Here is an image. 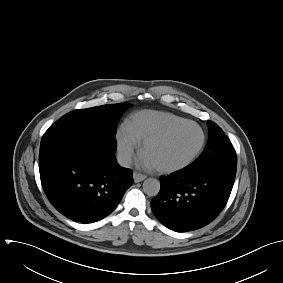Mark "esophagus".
I'll use <instances>...</instances> for the list:
<instances>
[{
  "label": "esophagus",
  "instance_id": "esophagus-1",
  "mask_svg": "<svg viewBox=\"0 0 283 283\" xmlns=\"http://www.w3.org/2000/svg\"><path fill=\"white\" fill-rule=\"evenodd\" d=\"M133 179L136 183L141 182L143 180L146 179V175L138 173V172H134L133 173Z\"/></svg>",
  "mask_w": 283,
  "mask_h": 283
}]
</instances>
